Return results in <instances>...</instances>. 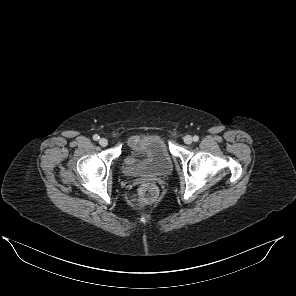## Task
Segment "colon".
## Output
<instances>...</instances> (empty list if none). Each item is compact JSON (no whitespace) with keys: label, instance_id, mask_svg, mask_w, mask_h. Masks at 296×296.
Returning <instances> with one entry per match:
<instances>
[{"label":"colon","instance_id":"5ec220e1","mask_svg":"<svg viewBox=\"0 0 296 296\" xmlns=\"http://www.w3.org/2000/svg\"><path fill=\"white\" fill-rule=\"evenodd\" d=\"M158 196V188L153 183L141 185L133 195L132 201L134 204L144 206L153 203Z\"/></svg>","mask_w":296,"mask_h":296}]
</instances>
